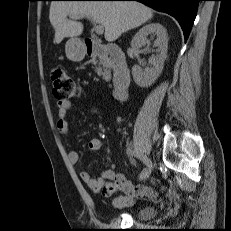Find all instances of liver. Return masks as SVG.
<instances>
[{
	"label": "liver",
	"instance_id": "6515ba94",
	"mask_svg": "<svg viewBox=\"0 0 231 231\" xmlns=\"http://www.w3.org/2000/svg\"><path fill=\"white\" fill-rule=\"evenodd\" d=\"M76 15L92 18L105 28L108 42L117 40L124 32L137 28L153 17L152 10L135 1H53L49 20L55 30L54 41L77 37L83 32L80 22L69 20Z\"/></svg>",
	"mask_w": 231,
	"mask_h": 231
}]
</instances>
